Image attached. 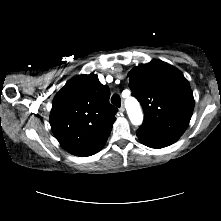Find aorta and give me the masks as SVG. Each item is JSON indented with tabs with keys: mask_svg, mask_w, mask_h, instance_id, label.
<instances>
[{
	"mask_svg": "<svg viewBox=\"0 0 221 221\" xmlns=\"http://www.w3.org/2000/svg\"><path fill=\"white\" fill-rule=\"evenodd\" d=\"M126 109L129 119L133 125H141L143 121V113L137 100L130 98L126 100Z\"/></svg>",
	"mask_w": 221,
	"mask_h": 221,
	"instance_id": "1",
	"label": "aorta"
}]
</instances>
